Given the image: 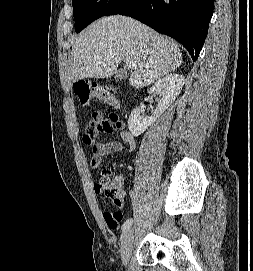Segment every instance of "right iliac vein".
<instances>
[{
  "label": "right iliac vein",
  "mask_w": 253,
  "mask_h": 271,
  "mask_svg": "<svg viewBox=\"0 0 253 271\" xmlns=\"http://www.w3.org/2000/svg\"><path fill=\"white\" fill-rule=\"evenodd\" d=\"M133 242H134V231L131 228L124 233L120 244L121 260L124 265H126L128 262L129 256L132 251Z\"/></svg>",
  "instance_id": "1"
}]
</instances>
